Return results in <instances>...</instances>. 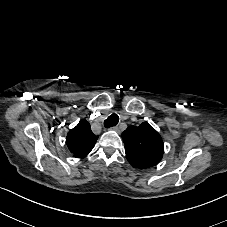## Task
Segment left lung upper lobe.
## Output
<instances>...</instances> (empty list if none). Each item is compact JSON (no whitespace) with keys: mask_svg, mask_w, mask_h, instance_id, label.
Masks as SVG:
<instances>
[{"mask_svg":"<svg viewBox=\"0 0 227 227\" xmlns=\"http://www.w3.org/2000/svg\"><path fill=\"white\" fill-rule=\"evenodd\" d=\"M126 158L139 169L153 167L163 156L164 145L159 133L148 123L129 126L123 133Z\"/></svg>","mask_w":227,"mask_h":227,"instance_id":"obj_1","label":"left lung upper lobe"}]
</instances>
